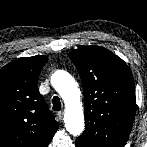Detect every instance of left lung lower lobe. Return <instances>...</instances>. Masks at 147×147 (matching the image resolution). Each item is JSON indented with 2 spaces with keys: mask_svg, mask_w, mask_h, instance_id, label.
I'll return each instance as SVG.
<instances>
[{
  "mask_svg": "<svg viewBox=\"0 0 147 147\" xmlns=\"http://www.w3.org/2000/svg\"><path fill=\"white\" fill-rule=\"evenodd\" d=\"M76 147H82V146L76 145Z\"/></svg>",
  "mask_w": 147,
  "mask_h": 147,
  "instance_id": "0a47b994",
  "label": "left lung lower lobe"
}]
</instances>
